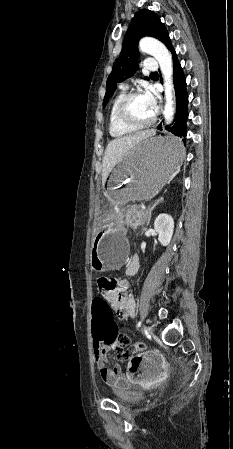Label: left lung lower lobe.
<instances>
[{
	"label": "left lung lower lobe",
	"instance_id": "obj_1",
	"mask_svg": "<svg viewBox=\"0 0 233 449\" xmlns=\"http://www.w3.org/2000/svg\"><path fill=\"white\" fill-rule=\"evenodd\" d=\"M171 54L173 58V76L177 110L173 126H167L166 129L175 135V141L169 144V149L176 150L182 143H186V138L184 137L187 135L186 121L188 119V94L186 90V78L174 49L171 50ZM158 129H162L161 125H159Z\"/></svg>",
	"mask_w": 233,
	"mask_h": 449
}]
</instances>
